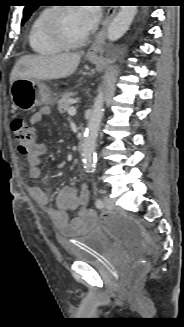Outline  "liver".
<instances>
[{
    "instance_id": "liver-1",
    "label": "liver",
    "mask_w": 184,
    "mask_h": 327,
    "mask_svg": "<svg viewBox=\"0 0 184 327\" xmlns=\"http://www.w3.org/2000/svg\"><path fill=\"white\" fill-rule=\"evenodd\" d=\"M80 59V53L25 55L15 63L10 75V84L18 78L52 80L68 77L75 72Z\"/></svg>"
}]
</instances>
